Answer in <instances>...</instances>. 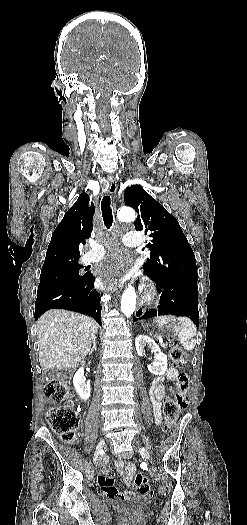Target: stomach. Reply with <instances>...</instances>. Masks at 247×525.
<instances>
[{
    "instance_id": "stomach-1",
    "label": "stomach",
    "mask_w": 247,
    "mask_h": 525,
    "mask_svg": "<svg viewBox=\"0 0 247 525\" xmlns=\"http://www.w3.org/2000/svg\"><path fill=\"white\" fill-rule=\"evenodd\" d=\"M142 326L147 332L153 334L156 337L166 336L172 338L173 336L177 335L174 322H168L167 324H158L153 321L150 323H143Z\"/></svg>"
}]
</instances>
